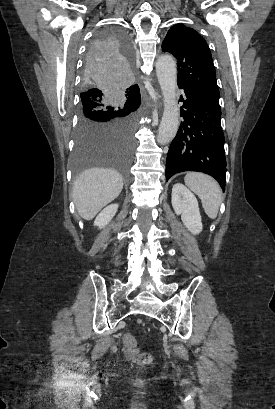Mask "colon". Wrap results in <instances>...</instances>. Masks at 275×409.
Here are the masks:
<instances>
[{"instance_id": "colon-1", "label": "colon", "mask_w": 275, "mask_h": 409, "mask_svg": "<svg viewBox=\"0 0 275 409\" xmlns=\"http://www.w3.org/2000/svg\"><path fill=\"white\" fill-rule=\"evenodd\" d=\"M122 342L124 349L126 350V354L132 362L144 367L150 366L152 363L151 354L148 352H142L139 349L137 341L132 334H124L122 337Z\"/></svg>"}]
</instances>
